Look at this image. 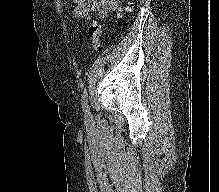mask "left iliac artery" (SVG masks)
<instances>
[{"label":"left iliac artery","instance_id":"44dca946","mask_svg":"<svg viewBox=\"0 0 219 192\" xmlns=\"http://www.w3.org/2000/svg\"><path fill=\"white\" fill-rule=\"evenodd\" d=\"M81 104H82V108L83 111L85 113V117L87 119L91 118V113H90V109H89V105H88V98H87V90L86 88H84L82 95H81Z\"/></svg>","mask_w":219,"mask_h":192}]
</instances>
